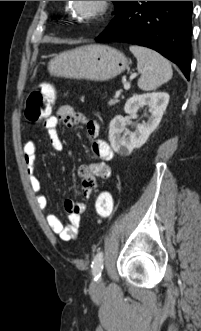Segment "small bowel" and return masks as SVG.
Here are the masks:
<instances>
[{
  "instance_id": "1",
  "label": "small bowel",
  "mask_w": 201,
  "mask_h": 331,
  "mask_svg": "<svg viewBox=\"0 0 201 331\" xmlns=\"http://www.w3.org/2000/svg\"><path fill=\"white\" fill-rule=\"evenodd\" d=\"M63 123L66 127H72L75 124H82L87 136L93 141L92 151L101 161L97 163H85L78 169V176L81 180V193L85 198H89L97 187V178L108 179L112 170L109 161L114 154L111 146L102 139H99V124L81 111L74 110L69 105H63L58 108L55 115H50L44 120L43 126L49 137L50 144L55 150L63 149V142L58 133V127ZM38 151V145L34 141H28L23 147L24 162L29 178V183L36 195L39 207L44 211L47 223L50 229L62 240H75L79 234L81 215L86 210V204L67 199L64 208L68 215V225L64 226L61 221L49 210L47 197L42 190V185L35 173V159Z\"/></svg>"
}]
</instances>
